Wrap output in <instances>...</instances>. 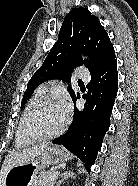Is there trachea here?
Here are the masks:
<instances>
[{"instance_id":"trachea-1","label":"trachea","mask_w":138,"mask_h":186,"mask_svg":"<svg viewBox=\"0 0 138 186\" xmlns=\"http://www.w3.org/2000/svg\"><path fill=\"white\" fill-rule=\"evenodd\" d=\"M79 83H83L81 80L78 81Z\"/></svg>"}]
</instances>
